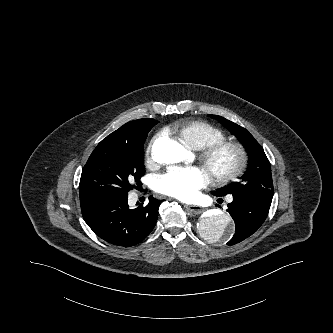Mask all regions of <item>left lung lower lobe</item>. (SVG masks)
Returning a JSON list of instances; mask_svg holds the SVG:
<instances>
[{"label": "left lung lower lobe", "mask_w": 333, "mask_h": 333, "mask_svg": "<svg viewBox=\"0 0 333 333\" xmlns=\"http://www.w3.org/2000/svg\"><path fill=\"white\" fill-rule=\"evenodd\" d=\"M271 202L259 197L233 195V202L228 204L227 212L235 221L236 230L227 244H237L252 235L265 221Z\"/></svg>", "instance_id": "obj_1"}]
</instances>
